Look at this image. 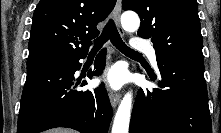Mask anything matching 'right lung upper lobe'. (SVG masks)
Listing matches in <instances>:
<instances>
[{"mask_svg": "<svg viewBox=\"0 0 221 133\" xmlns=\"http://www.w3.org/2000/svg\"><path fill=\"white\" fill-rule=\"evenodd\" d=\"M116 0H40L29 40L27 66L88 53L96 26Z\"/></svg>", "mask_w": 221, "mask_h": 133, "instance_id": "cb5924a9", "label": "right lung upper lobe"}]
</instances>
